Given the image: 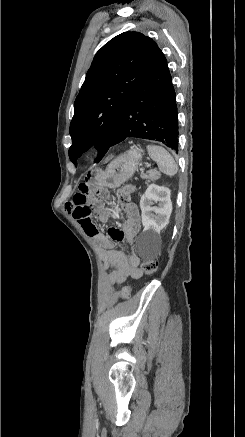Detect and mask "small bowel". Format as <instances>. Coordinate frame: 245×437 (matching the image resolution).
Instances as JSON below:
<instances>
[{"label": "small bowel", "instance_id": "small-bowel-1", "mask_svg": "<svg viewBox=\"0 0 245 437\" xmlns=\"http://www.w3.org/2000/svg\"><path fill=\"white\" fill-rule=\"evenodd\" d=\"M77 192L66 204L65 210L77 220L84 232L94 241L100 256L105 262L104 269H111L109 281L111 284H122L127 278H139V257L136 254L128 256L123 250L116 249L114 242H127L132 244L140 230V212L136 204L125 203L121 209L126 215L122 227H112L105 235L97 229L90 217L92 206L85 203L87 192H90V183H77ZM111 209L103 211L99 220L106 222Z\"/></svg>", "mask_w": 245, "mask_h": 437}]
</instances>
